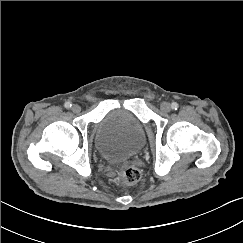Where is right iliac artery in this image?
Wrapping results in <instances>:
<instances>
[{
	"label": "right iliac artery",
	"mask_w": 243,
	"mask_h": 243,
	"mask_svg": "<svg viewBox=\"0 0 243 243\" xmlns=\"http://www.w3.org/2000/svg\"><path fill=\"white\" fill-rule=\"evenodd\" d=\"M64 106H65V108H67V109H69V108H71V103L70 102H66L65 104H64Z\"/></svg>",
	"instance_id": "right-iliac-artery-1"
}]
</instances>
